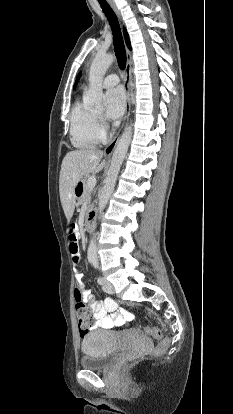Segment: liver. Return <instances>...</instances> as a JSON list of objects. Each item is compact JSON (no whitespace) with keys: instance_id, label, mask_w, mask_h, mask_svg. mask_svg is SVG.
I'll return each instance as SVG.
<instances>
[{"instance_id":"liver-1","label":"liver","mask_w":233,"mask_h":414,"mask_svg":"<svg viewBox=\"0 0 233 414\" xmlns=\"http://www.w3.org/2000/svg\"><path fill=\"white\" fill-rule=\"evenodd\" d=\"M103 152L98 149H77L66 154L62 161L59 192L62 207L67 220L73 216L76 196L75 186L86 174L100 172L105 162L102 161Z\"/></svg>"}]
</instances>
